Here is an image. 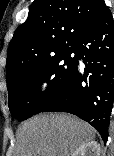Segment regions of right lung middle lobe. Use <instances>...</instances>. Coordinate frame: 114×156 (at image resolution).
Returning a JSON list of instances; mask_svg holds the SVG:
<instances>
[{
    "mask_svg": "<svg viewBox=\"0 0 114 156\" xmlns=\"http://www.w3.org/2000/svg\"><path fill=\"white\" fill-rule=\"evenodd\" d=\"M71 53H75L74 49L49 58L14 79L8 87L9 109L14 117L21 120L30 118L58 98L78 64L77 55L72 58ZM43 82L48 86L41 94Z\"/></svg>",
    "mask_w": 114,
    "mask_h": 156,
    "instance_id": "obj_1",
    "label": "right lung middle lobe"
}]
</instances>
